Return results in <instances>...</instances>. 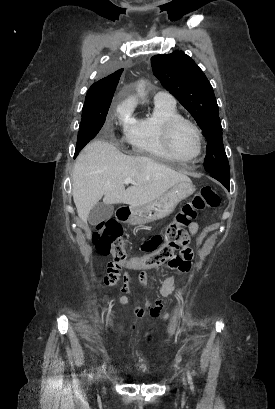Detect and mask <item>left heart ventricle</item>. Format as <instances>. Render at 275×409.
<instances>
[{"instance_id": "obj_1", "label": "left heart ventricle", "mask_w": 275, "mask_h": 409, "mask_svg": "<svg viewBox=\"0 0 275 409\" xmlns=\"http://www.w3.org/2000/svg\"><path fill=\"white\" fill-rule=\"evenodd\" d=\"M173 149L178 157H192L197 150L195 135L187 125L177 128L173 137Z\"/></svg>"}]
</instances>
